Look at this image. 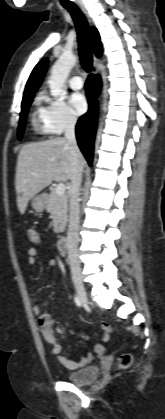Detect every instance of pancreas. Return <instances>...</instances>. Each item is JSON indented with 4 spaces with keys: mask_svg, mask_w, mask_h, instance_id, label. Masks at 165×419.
<instances>
[{
    "mask_svg": "<svg viewBox=\"0 0 165 419\" xmlns=\"http://www.w3.org/2000/svg\"><path fill=\"white\" fill-rule=\"evenodd\" d=\"M46 210L53 219L54 232H63L67 223L68 197L65 194L59 196L52 189L46 202Z\"/></svg>",
    "mask_w": 165,
    "mask_h": 419,
    "instance_id": "cf45deb5",
    "label": "pancreas"
}]
</instances>
